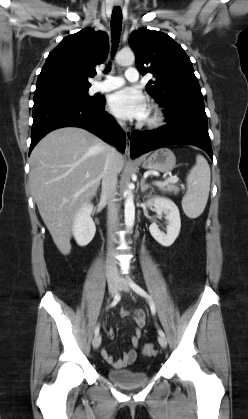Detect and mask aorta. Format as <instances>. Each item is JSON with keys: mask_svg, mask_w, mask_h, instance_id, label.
Here are the masks:
<instances>
[{"mask_svg": "<svg viewBox=\"0 0 248 419\" xmlns=\"http://www.w3.org/2000/svg\"><path fill=\"white\" fill-rule=\"evenodd\" d=\"M135 61V55L132 51H120L116 55V62L121 66L132 65ZM126 199L124 204V217L125 224L128 229H131L134 225L135 220V205L133 200V193L128 186V189L125 191Z\"/></svg>", "mask_w": 248, "mask_h": 419, "instance_id": "aorta-1", "label": "aorta"}]
</instances>
